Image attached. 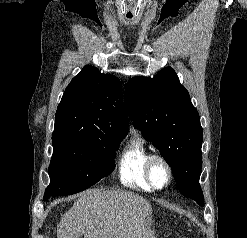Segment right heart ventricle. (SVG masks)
<instances>
[{
    "label": "right heart ventricle",
    "instance_id": "e07e8e85",
    "mask_svg": "<svg viewBox=\"0 0 247 238\" xmlns=\"http://www.w3.org/2000/svg\"><path fill=\"white\" fill-rule=\"evenodd\" d=\"M150 152L144 143L134 137L119 156L118 175L120 181L131 188L151 190L144 175V166Z\"/></svg>",
    "mask_w": 247,
    "mask_h": 238
}]
</instances>
